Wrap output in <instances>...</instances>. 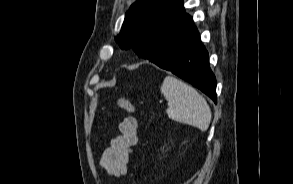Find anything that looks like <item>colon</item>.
<instances>
[{"instance_id":"colon-1","label":"colon","mask_w":293,"mask_h":184,"mask_svg":"<svg viewBox=\"0 0 293 184\" xmlns=\"http://www.w3.org/2000/svg\"><path fill=\"white\" fill-rule=\"evenodd\" d=\"M115 102L121 109L125 110L126 112H129V113L136 112L135 106L126 98L116 97Z\"/></svg>"}]
</instances>
